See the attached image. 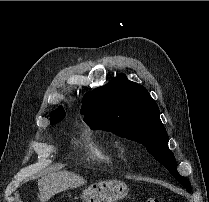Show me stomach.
<instances>
[{"label":"stomach","instance_id":"0dacf381","mask_svg":"<svg viewBox=\"0 0 209 202\" xmlns=\"http://www.w3.org/2000/svg\"><path fill=\"white\" fill-rule=\"evenodd\" d=\"M128 186L118 180L101 181L82 191L83 202H117L128 195Z\"/></svg>","mask_w":209,"mask_h":202}]
</instances>
